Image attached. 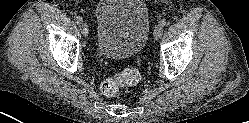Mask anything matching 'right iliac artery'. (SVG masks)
Instances as JSON below:
<instances>
[{"label":"right iliac artery","instance_id":"82829eb1","mask_svg":"<svg viewBox=\"0 0 249 123\" xmlns=\"http://www.w3.org/2000/svg\"><path fill=\"white\" fill-rule=\"evenodd\" d=\"M75 21H76L77 24H82L83 23V19L80 16H77Z\"/></svg>","mask_w":249,"mask_h":123}]
</instances>
